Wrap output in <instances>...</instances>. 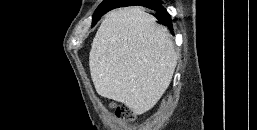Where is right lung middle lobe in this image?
<instances>
[{
  "label": "right lung middle lobe",
  "mask_w": 257,
  "mask_h": 130,
  "mask_svg": "<svg viewBox=\"0 0 257 130\" xmlns=\"http://www.w3.org/2000/svg\"><path fill=\"white\" fill-rule=\"evenodd\" d=\"M122 0H104L96 9L94 15H93V24H95L100 17L109 11L110 9L121 7L124 3H122ZM127 2V1H125Z\"/></svg>",
  "instance_id": "right-lung-middle-lobe-1"
}]
</instances>
